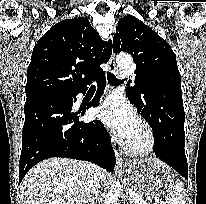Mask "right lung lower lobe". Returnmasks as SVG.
I'll return each instance as SVG.
<instances>
[{
	"mask_svg": "<svg viewBox=\"0 0 206 204\" xmlns=\"http://www.w3.org/2000/svg\"><path fill=\"white\" fill-rule=\"evenodd\" d=\"M96 79L98 91L87 108L98 106L106 85L104 72ZM86 90L87 87L71 94L48 93L26 99L19 183L31 167L51 157L87 160L108 171L114 169L115 154L101 121L79 122V113L72 112L76 95Z\"/></svg>",
	"mask_w": 206,
	"mask_h": 204,
	"instance_id": "right-lung-lower-lobe-1",
	"label": "right lung lower lobe"
}]
</instances>
